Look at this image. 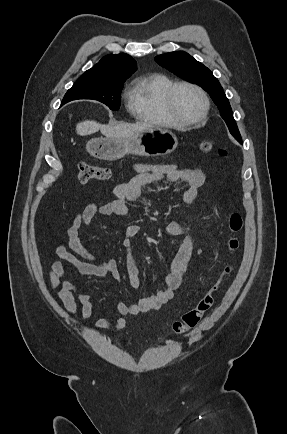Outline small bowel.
Wrapping results in <instances>:
<instances>
[{
	"mask_svg": "<svg viewBox=\"0 0 287 434\" xmlns=\"http://www.w3.org/2000/svg\"><path fill=\"white\" fill-rule=\"evenodd\" d=\"M133 170L135 175L132 178L115 187L114 200L101 206L89 204L84 207L67 228V244L59 242L56 245V253L62 261L52 263L49 271V285L53 290L58 289L60 301L65 310L73 316L77 315V302L81 305V315L84 319L91 320L93 315V297L79 291V278L111 276L117 282L122 280L117 262L113 259L103 262L97 261L93 253L79 240V229L82 226H91L96 217H112L116 220L124 218L132 208L139 206L142 189L153 184L176 185L181 182L186 183L188 186L183 192L182 199L185 206L191 209L198 189L205 183V174L197 168L180 169L174 164L137 163ZM163 230L167 236L175 237L190 232L191 224L188 220L171 221L165 224ZM139 231L140 227L137 224H130L122 229V245L126 251V269L130 284L133 287H139L142 283L131 244V240ZM195 243V236L188 235L171 261L167 273L163 276H155V279L163 285L160 290L153 295L139 299L135 303H117L116 312L119 317L98 318L93 321L94 327L97 329H124L127 326L125 316L148 313L171 301L174 298L175 290L183 281ZM70 249L80 255L82 259ZM63 261L76 269L77 279L70 280L68 278Z\"/></svg>",
	"mask_w": 287,
	"mask_h": 434,
	"instance_id": "c3829d8e",
	"label": "small bowel"
}]
</instances>
